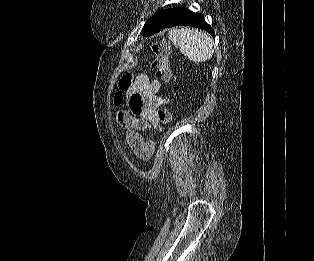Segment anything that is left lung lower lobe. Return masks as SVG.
<instances>
[{
    "mask_svg": "<svg viewBox=\"0 0 314 261\" xmlns=\"http://www.w3.org/2000/svg\"><path fill=\"white\" fill-rule=\"evenodd\" d=\"M181 25L198 27L200 29L206 30L212 36H215L213 29L206 23L203 15L187 10L185 5H182L176 14L169 20V22L166 23L160 30Z\"/></svg>",
    "mask_w": 314,
    "mask_h": 261,
    "instance_id": "obj_1",
    "label": "left lung lower lobe"
}]
</instances>
